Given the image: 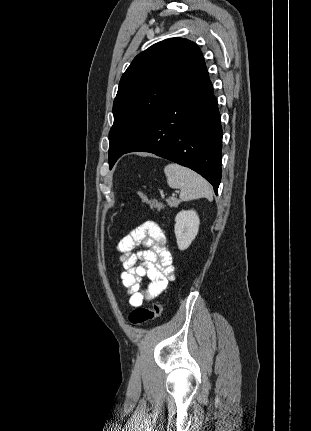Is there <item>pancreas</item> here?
I'll return each instance as SVG.
<instances>
[{
  "label": "pancreas",
  "mask_w": 311,
  "mask_h": 431,
  "mask_svg": "<svg viewBox=\"0 0 311 431\" xmlns=\"http://www.w3.org/2000/svg\"><path fill=\"white\" fill-rule=\"evenodd\" d=\"M166 204H168L170 208H177V206L181 204V200H177V198H174V196H172V198H167Z\"/></svg>",
  "instance_id": "pancreas-1"
}]
</instances>
